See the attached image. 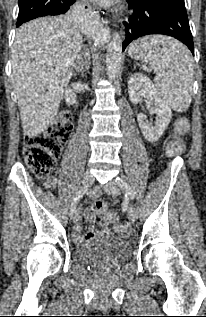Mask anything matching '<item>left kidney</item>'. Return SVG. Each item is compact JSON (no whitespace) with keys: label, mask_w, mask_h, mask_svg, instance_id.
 <instances>
[{"label":"left kidney","mask_w":206,"mask_h":317,"mask_svg":"<svg viewBox=\"0 0 206 317\" xmlns=\"http://www.w3.org/2000/svg\"><path fill=\"white\" fill-rule=\"evenodd\" d=\"M128 93L131 102L134 104H138L145 97L149 103L155 105L151 110L156 115L154 125L148 123L147 117L143 113L138 114L137 120L146 140L152 143L158 141L170 123L172 117L170 107L159 95L151 80L141 73H135L130 77Z\"/></svg>","instance_id":"5707ae66"}]
</instances>
